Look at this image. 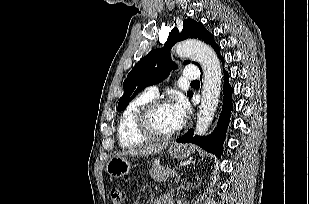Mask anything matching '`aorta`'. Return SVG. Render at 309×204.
Returning a JSON list of instances; mask_svg holds the SVG:
<instances>
[{
    "label": "aorta",
    "mask_w": 309,
    "mask_h": 204,
    "mask_svg": "<svg viewBox=\"0 0 309 204\" xmlns=\"http://www.w3.org/2000/svg\"><path fill=\"white\" fill-rule=\"evenodd\" d=\"M178 57L198 61L203 69L202 99L196 123V133L207 132L215 115L221 91L222 72L220 61L214 50L197 40H185L175 46Z\"/></svg>",
    "instance_id": "1"
}]
</instances>
